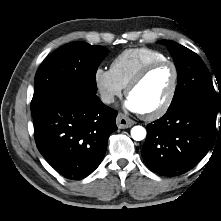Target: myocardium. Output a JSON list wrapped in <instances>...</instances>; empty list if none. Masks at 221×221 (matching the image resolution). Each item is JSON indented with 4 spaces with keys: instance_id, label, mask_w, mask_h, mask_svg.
<instances>
[{
    "instance_id": "myocardium-1",
    "label": "myocardium",
    "mask_w": 221,
    "mask_h": 221,
    "mask_svg": "<svg viewBox=\"0 0 221 221\" xmlns=\"http://www.w3.org/2000/svg\"><path fill=\"white\" fill-rule=\"evenodd\" d=\"M163 65H169L173 70V80L172 85L170 88V91L163 101V103L157 107L156 109L150 111V112H141L142 116L146 119L152 120L157 119L161 116H163L171 107L174 98L177 93L178 89V83H179V70L177 65L168 59L164 60H157L154 62H151L147 65H145L128 83L126 87V95L130 97L131 92L156 68L163 66Z\"/></svg>"
}]
</instances>
